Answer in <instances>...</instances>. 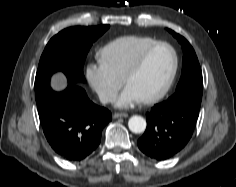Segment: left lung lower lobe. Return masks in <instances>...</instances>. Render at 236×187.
I'll return each mask as SVG.
<instances>
[{
  "instance_id": "obj_1",
  "label": "left lung lower lobe",
  "mask_w": 236,
  "mask_h": 187,
  "mask_svg": "<svg viewBox=\"0 0 236 187\" xmlns=\"http://www.w3.org/2000/svg\"><path fill=\"white\" fill-rule=\"evenodd\" d=\"M198 116L199 110L186 104H156L146 114L147 128L138 140L139 149L152 159L171 158L191 138Z\"/></svg>"
}]
</instances>
